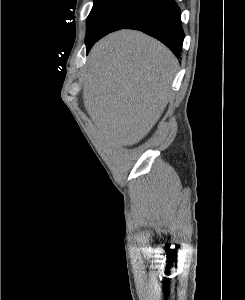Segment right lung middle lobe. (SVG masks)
<instances>
[{
	"label": "right lung middle lobe",
	"instance_id": "right-lung-middle-lobe-1",
	"mask_svg": "<svg viewBox=\"0 0 245 300\" xmlns=\"http://www.w3.org/2000/svg\"><path fill=\"white\" fill-rule=\"evenodd\" d=\"M159 4L143 0H95L87 19L86 46L126 27Z\"/></svg>",
	"mask_w": 245,
	"mask_h": 300
}]
</instances>
